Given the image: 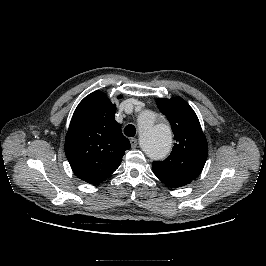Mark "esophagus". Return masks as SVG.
<instances>
[{"label": "esophagus", "instance_id": "obj_1", "mask_svg": "<svg viewBox=\"0 0 266 266\" xmlns=\"http://www.w3.org/2000/svg\"><path fill=\"white\" fill-rule=\"evenodd\" d=\"M131 147L134 149L138 145V140L136 138L130 139Z\"/></svg>", "mask_w": 266, "mask_h": 266}]
</instances>
